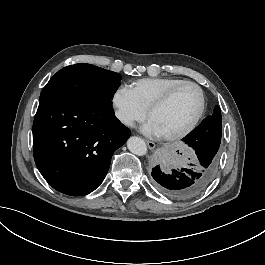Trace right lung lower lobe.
I'll list each match as a JSON object with an SVG mask.
<instances>
[{
    "label": "right lung lower lobe",
    "instance_id": "right-lung-lower-lobe-1",
    "mask_svg": "<svg viewBox=\"0 0 265 265\" xmlns=\"http://www.w3.org/2000/svg\"><path fill=\"white\" fill-rule=\"evenodd\" d=\"M130 134L109 105L44 96L33 123L35 163L54 189L83 196L102 183Z\"/></svg>",
    "mask_w": 265,
    "mask_h": 265
}]
</instances>
